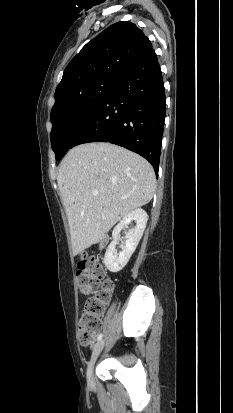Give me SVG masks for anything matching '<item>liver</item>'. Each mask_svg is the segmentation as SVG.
<instances>
[{
  "mask_svg": "<svg viewBox=\"0 0 233 413\" xmlns=\"http://www.w3.org/2000/svg\"><path fill=\"white\" fill-rule=\"evenodd\" d=\"M57 182L74 255L101 241L121 218L149 203L156 187L154 170L146 159L106 142L72 148L59 166Z\"/></svg>",
  "mask_w": 233,
  "mask_h": 413,
  "instance_id": "liver-1",
  "label": "liver"
}]
</instances>
